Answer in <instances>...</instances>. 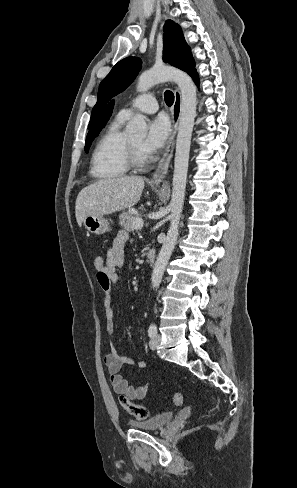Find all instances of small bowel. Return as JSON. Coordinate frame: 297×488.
Returning a JSON list of instances; mask_svg holds the SVG:
<instances>
[{"instance_id": "c3829d8e", "label": "small bowel", "mask_w": 297, "mask_h": 488, "mask_svg": "<svg viewBox=\"0 0 297 488\" xmlns=\"http://www.w3.org/2000/svg\"><path fill=\"white\" fill-rule=\"evenodd\" d=\"M129 238L128 232L121 230L117 233L113 244L108 248L104 258V266L97 271V281L104 293L105 318L107 321V332L112 335L114 332L111 289L119 281L118 269L124 265V247ZM104 362L110 374V382L114 391L123 395L129 400H141L145 397L148 385L133 387L122 373L124 365H137L139 368H146L145 360L135 361L133 358L120 354L114 347L105 356Z\"/></svg>"}]
</instances>
